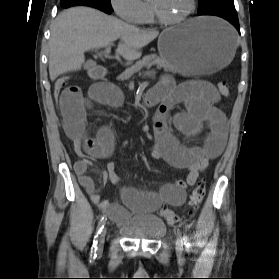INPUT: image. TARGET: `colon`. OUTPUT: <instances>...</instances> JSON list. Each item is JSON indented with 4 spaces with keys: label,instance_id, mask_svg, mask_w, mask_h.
Segmentation results:
<instances>
[{
    "label": "colon",
    "instance_id": "obj_1",
    "mask_svg": "<svg viewBox=\"0 0 279 279\" xmlns=\"http://www.w3.org/2000/svg\"><path fill=\"white\" fill-rule=\"evenodd\" d=\"M68 81L67 76H62L58 78L54 85V96L56 99H59L63 90L66 88V84ZM216 89L219 94L221 95H228L229 94V87L226 83H218L216 85ZM206 191L205 182L203 180L199 181L192 190L191 197H190V206L193 210H195L202 202ZM162 217L166 219V221L170 224L177 223L181 220V217L174 212L173 210L163 208L160 211Z\"/></svg>",
    "mask_w": 279,
    "mask_h": 279
}]
</instances>
